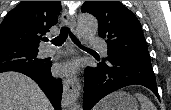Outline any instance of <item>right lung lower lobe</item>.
I'll list each match as a JSON object with an SVG mask.
<instances>
[{"instance_id":"1","label":"right lung lower lobe","mask_w":171,"mask_h":110,"mask_svg":"<svg viewBox=\"0 0 171 110\" xmlns=\"http://www.w3.org/2000/svg\"><path fill=\"white\" fill-rule=\"evenodd\" d=\"M51 65V63H46L39 68L24 67L9 71H17L32 78L46 94L55 110H61L62 81L51 76Z\"/></svg>"}]
</instances>
